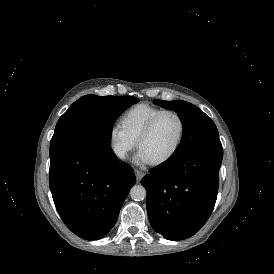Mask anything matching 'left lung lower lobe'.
Segmentation results:
<instances>
[{
	"label": "left lung lower lobe",
	"mask_w": 274,
	"mask_h": 274,
	"mask_svg": "<svg viewBox=\"0 0 274 274\" xmlns=\"http://www.w3.org/2000/svg\"><path fill=\"white\" fill-rule=\"evenodd\" d=\"M222 158L221 144L202 146L169 158L144 176L148 218L156 232L176 241L205 224L216 202Z\"/></svg>",
	"instance_id": "0a47b994"
}]
</instances>
